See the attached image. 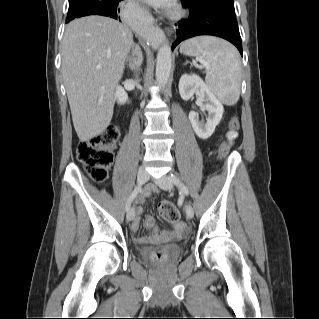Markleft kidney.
Returning <instances> with one entry per match:
<instances>
[{
    "instance_id": "5707ae66",
    "label": "left kidney",
    "mask_w": 319,
    "mask_h": 319,
    "mask_svg": "<svg viewBox=\"0 0 319 319\" xmlns=\"http://www.w3.org/2000/svg\"><path fill=\"white\" fill-rule=\"evenodd\" d=\"M179 93L183 100H189L194 94H197L201 102H206L201 106L203 110L208 112L206 122L200 121L198 113L195 111L189 113V120L196 135L201 139H208L222 119L223 105L196 74L181 76Z\"/></svg>"
}]
</instances>
